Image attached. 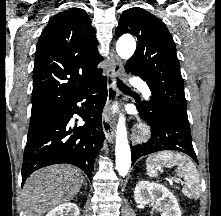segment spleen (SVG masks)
I'll return each instance as SVG.
<instances>
[{
    "instance_id": "obj_1",
    "label": "spleen",
    "mask_w": 221,
    "mask_h": 216,
    "mask_svg": "<svg viewBox=\"0 0 221 216\" xmlns=\"http://www.w3.org/2000/svg\"><path fill=\"white\" fill-rule=\"evenodd\" d=\"M147 173L150 177H156L158 170L162 167L177 166L176 173L183 177L185 186L182 189L184 195L189 198L199 197L200 177L198 170L190 158L171 151H162L155 155H150L146 160Z\"/></svg>"
}]
</instances>
